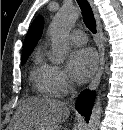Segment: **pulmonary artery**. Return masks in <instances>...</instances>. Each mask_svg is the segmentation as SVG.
<instances>
[{"mask_svg":"<svg viewBox=\"0 0 123 130\" xmlns=\"http://www.w3.org/2000/svg\"><path fill=\"white\" fill-rule=\"evenodd\" d=\"M70 39L78 45H83L87 42V37L81 30L72 31L70 34Z\"/></svg>","mask_w":123,"mask_h":130,"instance_id":"e3ab8cb5","label":"pulmonary artery"}]
</instances>
